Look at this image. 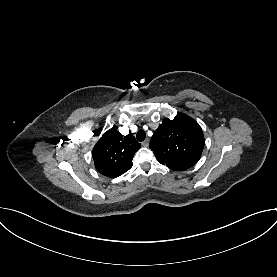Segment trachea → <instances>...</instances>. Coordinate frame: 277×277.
Masks as SVG:
<instances>
[{"label": "trachea", "mask_w": 277, "mask_h": 277, "mask_svg": "<svg viewBox=\"0 0 277 277\" xmlns=\"http://www.w3.org/2000/svg\"><path fill=\"white\" fill-rule=\"evenodd\" d=\"M136 137H137V140L141 142L145 140L146 134L143 130H139L136 134Z\"/></svg>", "instance_id": "trachea-1"}]
</instances>
